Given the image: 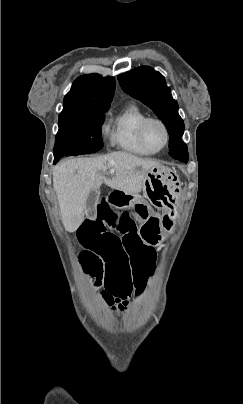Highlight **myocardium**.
<instances>
[{
    "instance_id": "obj_1",
    "label": "myocardium",
    "mask_w": 243,
    "mask_h": 404,
    "mask_svg": "<svg viewBox=\"0 0 243 404\" xmlns=\"http://www.w3.org/2000/svg\"><path fill=\"white\" fill-rule=\"evenodd\" d=\"M151 122L158 123L163 128V130L165 132V135H166L165 144L162 147L158 148V149L153 148L150 145V143L148 142V140L146 139V136H145V129L148 126V124H150ZM138 136H139V139H140L141 143L144 146H146L147 148H149V149H151V150H153L155 152H161L164 149H166L168 147V145L170 144V141H171V132H170V129H169L168 125L166 124V122L164 120H162L161 118L156 117V116H146L140 122V124L138 126Z\"/></svg>"
}]
</instances>
